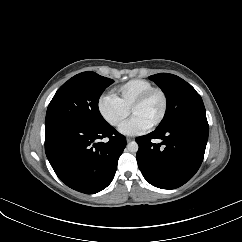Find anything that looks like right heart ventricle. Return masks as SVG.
Returning <instances> with one entry per match:
<instances>
[{
    "mask_svg": "<svg viewBox=\"0 0 242 242\" xmlns=\"http://www.w3.org/2000/svg\"><path fill=\"white\" fill-rule=\"evenodd\" d=\"M153 84L144 79H132L112 90V96L126 109L144 92L153 88Z\"/></svg>",
    "mask_w": 242,
    "mask_h": 242,
    "instance_id": "e07e8e85",
    "label": "right heart ventricle"
}]
</instances>
